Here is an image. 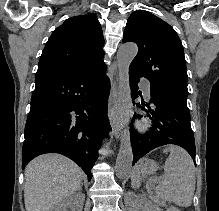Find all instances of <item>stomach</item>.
<instances>
[{
	"label": "stomach",
	"instance_id": "stomach-1",
	"mask_svg": "<svg viewBox=\"0 0 219 211\" xmlns=\"http://www.w3.org/2000/svg\"><path fill=\"white\" fill-rule=\"evenodd\" d=\"M157 168V163L147 158L141 159L136 165V170L145 175L153 174Z\"/></svg>",
	"mask_w": 219,
	"mask_h": 211
}]
</instances>
